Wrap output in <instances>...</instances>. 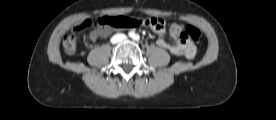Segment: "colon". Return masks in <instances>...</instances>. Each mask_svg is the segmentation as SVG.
<instances>
[{
	"label": "colon",
	"mask_w": 276,
	"mask_h": 120,
	"mask_svg": "<svg viewBox=\"0 0 276 120\" xmlns=\"http://www.w3.org/2000/svg\"><path fill=\"white\" fill-rule=\"evenodd\" d=\"M91 24L90 21L86 20L78 24L75 28V32H80L86 29ZM98 24L103 27L121 29L125 27H136L139 25H147L153 29L162 28L165 23L160 18H147V19H134L126 16H105L98 20ZM171 33L175 36L180 37L183 41H199L200 31L192 25L182 26L180 24H173L170 28ZM77 47V38L75 34H68L63 39V48L68 54H74Z\"/></svg>",
	"instance_id": "colon-1"
}]
</instances>
